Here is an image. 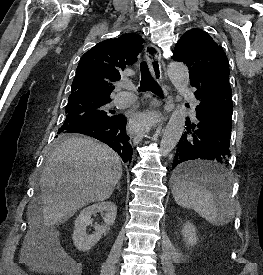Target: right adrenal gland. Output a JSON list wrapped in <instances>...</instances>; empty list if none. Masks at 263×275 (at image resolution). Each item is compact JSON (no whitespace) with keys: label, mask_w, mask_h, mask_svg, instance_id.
Segmentation results:
<instances>
[{"label":"right adrenal gland","mask_w":263,"mask_h":275,"mask_svg":"<svg viewBox=\"0 0 263 275\" xmlns=\"http://www.w3.org/2000/svg\"><path fill=\"white\" fill-rule=\"evenodd\" d=\"M120 191V183H118L117 187L115 188Z\"/></svg>","instance_id":"1"}]
</instances>
